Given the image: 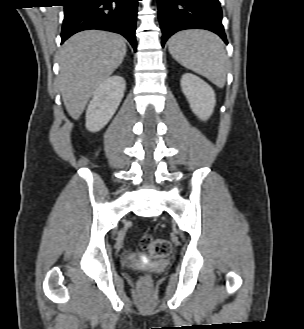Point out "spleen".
<instances>
[{"mask_svg": "<svg viewBox=\"0 0 304 329\" xmlns=\"http://www.w3.org/2000/svg\"><path fill=\"white\" fill-rule=\"evenodd\" d=\"M169 52L182 66L222 88L227 74V55L222 40L209 31L185 30L173 35Z\"/></svg>", "mask_w": 304, "mask_h": 329, "instance_id": "3e777b00", "label": "spleen"}]
</instances>
